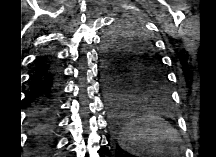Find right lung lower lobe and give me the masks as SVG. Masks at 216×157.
I'll return each mask as SVG.
<instances>
[{
	"instance_id": "1",
	"label": "right lung lower lobe",
	"mask_w": 216,
	"mask_h": 157,
	"mask_svg": "<svg viewBox=\"0 0 216 157\" xmlns=\"http://www.w3.org/2000/svg\"><path fill=\"white\" fill-rule=\"evenodd\" d=\"M59 85L55 68L46 57L36 62L29 92L32 142L39 153L50 149L55 130Z\"/></svg>"
}]
</instances>
